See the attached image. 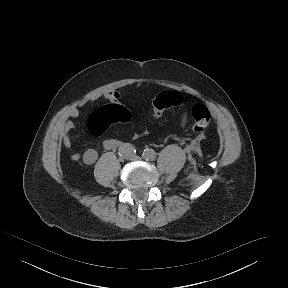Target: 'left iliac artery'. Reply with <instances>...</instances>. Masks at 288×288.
Here are the masks:
<instances>
[{
	"instance_id": "1",
	"label": "left iliac artery",
	"mask_w": 288,
	"mask_h": 288,
	"mask_svg": "<svg viewBox=\"0 0 288 288\" xmlns=\"http://www.w3.org/2000/svg\"><path fill=\"white\" fill-rule=\"evenodd\" d=\"M142 156L147 161H153L156 158V153L154 150L147 148L144 150Z\"/></svg>"
}]
</instances>
